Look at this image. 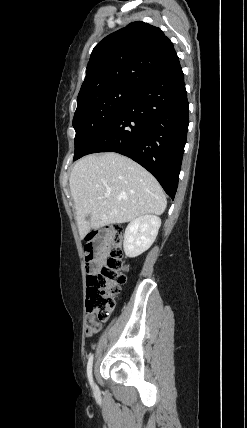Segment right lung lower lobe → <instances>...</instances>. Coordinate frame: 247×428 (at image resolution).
<instances>
[{
    "label": "right lung lower lobe",
    "instance_id": "1",
    "mask_svg": "<svg viewBox=\"0 0 247 428\" xmlns=\"http://www.w3.org/2000/svg\"><path fill=\"white\" fill-rule=\"evenodd\" d=\"M188 105L178 60L146 84L80 157L96 152L125 155L146 168L174 199L188 130Z\"/></svg>",
    "mask_w": 247,
    "mask_h": 428
}]
</instances>
